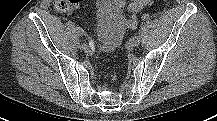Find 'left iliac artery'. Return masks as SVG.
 <instances>
[{
	"label": "left iliac artery",
	"mask_w": 217,
	"mask_h": 121,
	"mask_svg": "<svg viewBox=\"0 0 217 121\" xmlns=\"http://www.w3.org/2000/svg\"><path fill=\"white\" fill-rule=\"evenodd\" d=\"M142 20H143L144 22H149V21L151 20V16H150L149 14H144V15L142 16Z\"/></svg>",
	"instance_id": "1"
}]
</instances>
